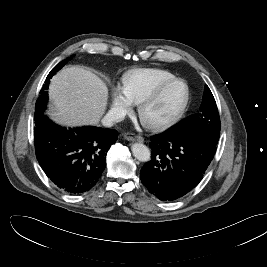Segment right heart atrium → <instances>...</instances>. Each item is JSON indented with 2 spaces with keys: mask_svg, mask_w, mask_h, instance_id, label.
<instances>
[{
  "mask_svg": "<svg viewBox=\"0 0 267 267\" xmlns=\"http://www.w3.org/2000/svg\"><path fill=\"white\" fill-rule=\"evenodd\" d=\"M132 103L127 98L122 86L113 88L112 112L114 114H126L130 111Z\"/></svg>",
  "mask_w": 267,
  "mask_h": 267,
  "instance_id": "1",
  "label": "right heart atrium"
}]
</instances>
